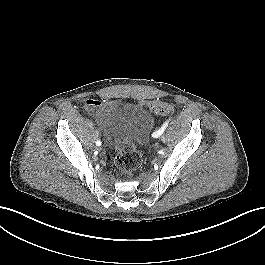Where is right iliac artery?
<instances>
[{"label": "right iliac artery", "mask_w": 265, "mask_h": 265, "mask_svg": "<svg viewBox=\"0 0 265 265\" xmlns=\"http://www.w3.org/2000/svg\"><path fill=\"white\" fill-rule=\"evenodd\" d=\"M96 145H97V146H100V145H101V141H100V140H97V141H96Z\"/></svg>", "instance_id": "right-iliac-artery-1"}]
</instances>
